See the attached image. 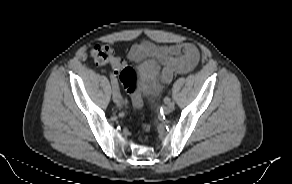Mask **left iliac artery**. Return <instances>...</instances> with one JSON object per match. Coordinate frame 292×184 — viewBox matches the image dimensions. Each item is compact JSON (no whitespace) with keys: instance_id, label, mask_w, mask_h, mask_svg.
<instances>
[{"instance_id":"1","label":"left iliac artery","mask_w":292,"mask_h":184,"mask_svg":"<svg viewBox=\"0 0 292 184\" xmlns=\"http://www.w3.org/2000/svg\"><path fill=\"white\" fill-rule=\"evenodd\" d=\"M164 102L167 104L168 102H170V98L169 97H165L164 98Z\"/></svg>"}]
</instances>
